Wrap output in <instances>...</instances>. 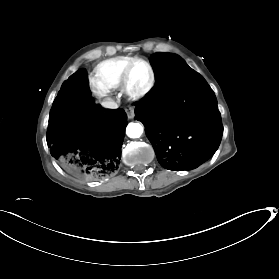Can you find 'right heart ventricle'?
Here are the masks:
<instances>
[{
  "label": "right heart ventricle",
  "instance_id": "1",
  "mask_svg": "<svg viewBox=\"0 0 279 279\" xmlns=\"http://www.w3.org/2000/svg\"><path fill=\"white\" fill-rule=\"evenodd\" d=\"M131 58L120 56L99 63L93 71L94 86L103 91L121 89L123 70Z\"/></svg>",
  "mask_w": 279,
  "mask_h": 279
}]
</instances>
